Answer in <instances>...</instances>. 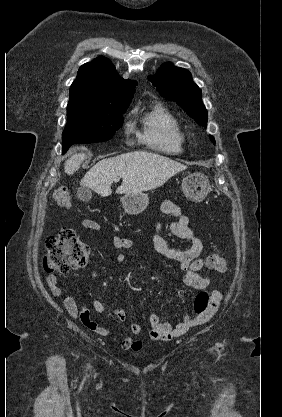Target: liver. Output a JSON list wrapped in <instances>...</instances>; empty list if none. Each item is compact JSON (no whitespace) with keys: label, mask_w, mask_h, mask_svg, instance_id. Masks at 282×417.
Segmentation results:
<instances>
[{"label":"liver","mask_w":282,"mask_h":417,"mask_svg":"<svg viewBox=\"0 0 282 417\" xmlns=\"http://www.w3.org/2000/svg\"><path fill=\"white\" fill-rule=\"evenodd\" d=\"M85 154L77 152L65 160V172L74 174L80 168ZM187 166L171 160L168 156H161L155 152H125L111 158H103L96 162L86 174L80 184L92 188L101 196H109L112 192L111 184L114 178H122V184L118 186V194H138L143 190H153L162 186L168 178L185 170Z\"/></svg>","instance_id":"liver-1"}]
</instances>
